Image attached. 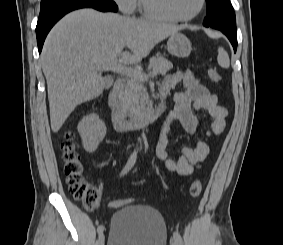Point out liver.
<instances>
[{
  "label": "liver",
  "mask_w": 283,
  "mask_h": 245,
  "mask_svg": "<svg viewBox=\"0 0 283 245\" xmlns=\"http://www.w3.org/2000/svg\"><path fill=\"white\" fill-rule=\"evenodd\" d=\"M178 27L101 13L73 11L48 34L41 53L47 81L50 121L58 132L77 105L102 94L107 80L103 65L116 60L136 64ZM129 51H123L124 48Z\"/></svg>",
  "instance_id": "6515ba94"
}]
</instances>
